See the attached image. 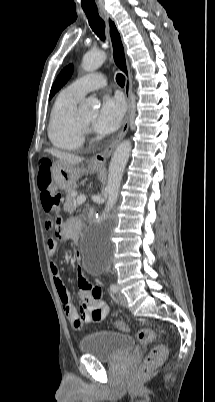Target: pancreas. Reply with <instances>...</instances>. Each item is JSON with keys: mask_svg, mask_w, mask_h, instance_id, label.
Wrapping results in <instances>:
<instances>
[{"mask_svg": "<svg viewBox=\"0 0 215 402\" xmlns=\"http://www.w3.org/2000/svg\"><path fill=\"white\" fill-rule=\"evenodd\" d=\"M74 192H75V188H71L66 191L67 195H66V201L64 204V210L69 213L74 212L77 208L75 196L73 195Z\"/></svg>", "mask_w": 215, "mask_h": 402, "instance_id": "1", "label": "pancreas"}]
</instances>
